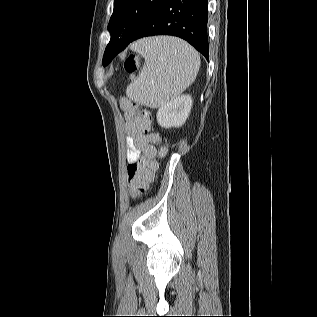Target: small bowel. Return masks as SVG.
<instances>
[{
    "label": "small bowel",
    "mask_w": 317,
    "mask_h": 317,
    "mask_svg": "<svg viewBox=\"0 0 317 317\" xmlns=\"http://www.w3.org/2000/svg\"><path fill=\"white\" fill-rule=\"evenodd\" d=\"M120 107L124 113L125 130L127 137V161L129 164L136 162L141 156L147 158H155L156 147L161 142V137L156 133H147L139 129L134 120L138 112V108L131 100L121 97Z\"/></svg>",
    "instance_id": "obj_1"
}]
</instances>
